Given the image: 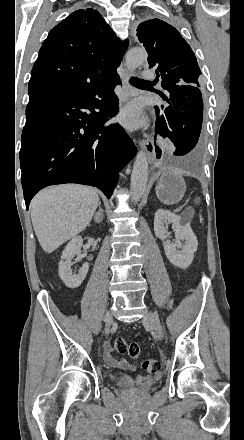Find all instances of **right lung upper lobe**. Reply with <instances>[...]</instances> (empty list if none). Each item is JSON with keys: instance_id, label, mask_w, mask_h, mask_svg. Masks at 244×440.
Here are the masks:
<instances>
[{"instance_id": "1", "label": "right lung upper lobe", "mask_w": 244, "mask_h": 440, "mask_svg": "<svg viewBox=\"0 0 244 440\" xmlns=\"http://www.w3.org/2000/svg\"><path fill=\"white\" fill-rule=\"evenodd\" d=\"M128 40L121 41L97 10H77L56 25L31 71L29 97L75 91L116 73Z\"/></svg>"}]
</instances>
